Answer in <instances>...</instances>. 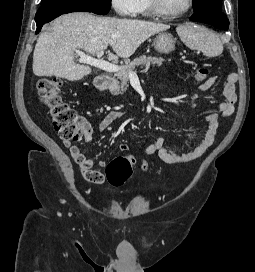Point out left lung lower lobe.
Segmentation results:
<instances>
[{"label":"left lung lower lobe","instance_id":"1","mask_svg":"<svg viewBox=\"0 0 255 272\" xmlns=\"http://www.w3.org/2000/svg\"><path fill=\"white\" fill-rule=\"evenodd\" d=\"M190 20L211 24L221 30L229 28V20L226 18V15L221 11V8L215 6H209L195 11L190 17Z\"/></svg>","mask_w":255,"mask_h":272}]
</instances>
